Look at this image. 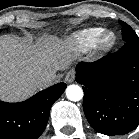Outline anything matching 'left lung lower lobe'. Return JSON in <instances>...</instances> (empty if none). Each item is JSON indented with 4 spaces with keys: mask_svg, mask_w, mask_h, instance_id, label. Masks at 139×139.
Listing matches in <instances>:
<instances>
[{
    "mask_svg": "<svg viewBox=\"0 0 139 139\" xmlns=\"http://www.w3.org/2000/svg\"><path fill=\"white\" fill-rule=\"evenodd\" d=\"M76 81L83 84V109L90 125L109 136L139 124V40L93 63L80 62Z\"/></svg>",
    "mask_w": 139,
    "mask_h": 139,
    "instance_id": "left-lung-lower-lobe-1",
    "label": "left lung lower lobe"
}]
</instances>
